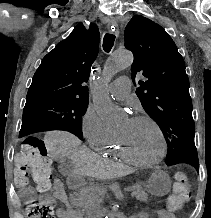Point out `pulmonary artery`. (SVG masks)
<instances>
[{
    "mask_svg": "<svg viewBox=\"0 0 211 218\" xmlns=\"http://www.w3.org/2000/svg\"><path fill=\"white\" fill-rule=\"evenodd\" d=\"M123 79H128V77L122 76L117 80H115L110 85V92L114 97L118 99H124L130 93V88H131L130 80H123Z\"/></svg>",
    "mask_w": 211,
    "mask_h": 218,
    "instance_id": "e3ab8cb5",
    "label": "pulmonary artery"
}]
</instances>
